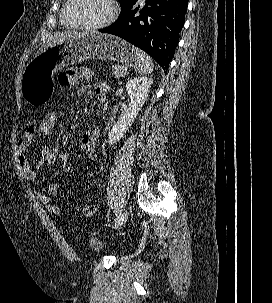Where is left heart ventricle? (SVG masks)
<instances>
[{
  "instance_id": "obj_1",
  "label": "left heart ventricle",
  "mask_w": 272,
  "mask_h": 303,
  "mask_svg": "<svg viewBox=\"0 0 272 303\" xmlns=\"http://www.w3.org/2000/svg\"><path fill=\"white\" fill-rule=\"evenodd\" d=\"M110 12L108 0H73L68 17L79 24H97L104 21Z\"/></svg>"
}]
</instances>
